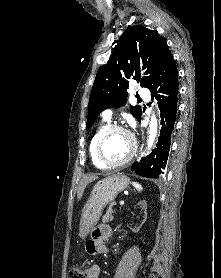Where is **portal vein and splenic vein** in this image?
I'll return each mask as SVG.
<instances>
[{
    "label": "portal vein and splenic vein",
    "instance_id": "portal-vein-and-splenic-vein-1",
    "mask_svg": "<svg viewBox=\"0 0 221 278\" xmlns=\"http://www.w3.org/2000/svg\"><path fill=\"white\" fill-rule=\"evenodd\" d=\"M123 204H124V201H120V202H119V205H123Z\"/></svg>",
    "mask_w": 221,
    "mask_h": 278
}]
</instances>
